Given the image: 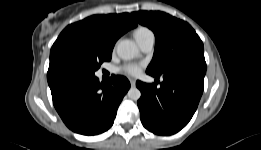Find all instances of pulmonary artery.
Segmentation results:
<instances>
[{
	"mask_svg": "<svg viewBox=\"0 0 261 150\" xmlns=\"http://www.w3.org/2000/svg\"><path fill=\"white\" fill-rule=\"evenodd\" d=\"M136 41L143 52H150L155 44V36L152 31H148L137 38Z\"/></svg>",
	"mask_w": 261,
	"mask_h": 150,
	"instance_id": "1",
	"label": "pulmonary artery"
}]
</instances>
